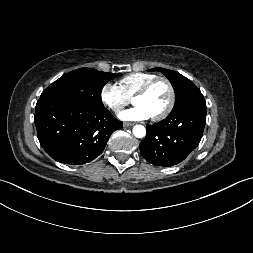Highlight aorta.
<instances>
[{"label": "aorta", "instance_id": "762f6f07", "mask_svg": "<svg viewBox=\"0 0 253 253\" xmlns=\"http://www.w3.org/2000/svg\"><path fill=\"white\" fill-rule=\"evenodd\" d=\"M133 134L137 138H143L146 135V129L142 125H135L133 127Z\"/></svg>", "mask_w": 253, "mask_h": 253}]
</instances>
